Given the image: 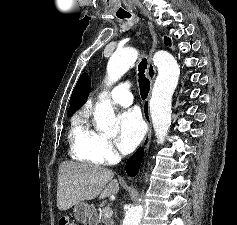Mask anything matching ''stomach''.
<instances>
[{
    "instance_id": "1",
    "label": "stomach",
    "mask_w": 237,
    "mask_h": 225,
    "mask_svg": "<svg viewBox=\"0 0 237 225\" xmlns=\"http://www.w3.org/2000/svg\"><path fill=\"white\" fill-rule=\"evenodd\" d=\"M96 215V209L94 205H89L86 202H78L74 206V216L77 221L82 224H86Z\"/></svg>"
}]
</instances>
